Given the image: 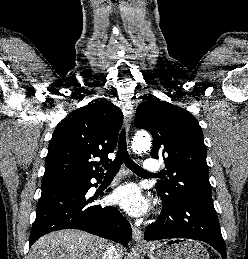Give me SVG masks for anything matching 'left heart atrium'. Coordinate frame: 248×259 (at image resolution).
<instances>
[{"label":"left heart atrium","mask_w":248,"mask_h":259,"mask_svg":"<svg viewBox=\"0 0 248 259\" xmlns=\"http://www.w3.org/2000/svg\"><path fill=\"white\" fill-rule=\"evenodd\" d=\"M112 201L133 216H140L148 209V200L135 184L118 187L112 194Z\"/></svg>","instance_id":"obj_1"}]
</instances>
